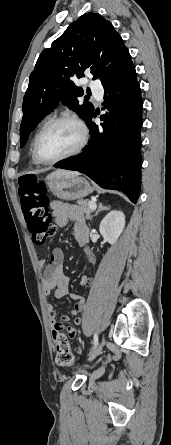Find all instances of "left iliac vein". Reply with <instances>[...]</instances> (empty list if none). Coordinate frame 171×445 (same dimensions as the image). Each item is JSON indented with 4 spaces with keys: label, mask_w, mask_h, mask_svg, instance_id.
Masks as SVG:
<instances>
[{
    "label": "left iliac vein",
    "mask_w": 171,
    "mask_h": 445,
    "mask_svg": "<svg viewBox=\"0 0 171 445\" xmlns=\"http://www.w3.org/2000/svg\"><path fill=\"white\" fill-rule=\"evenodd\" d=\"M105 345H106V340H105V339H102V341H101V343L99 344V346L96 347V348L93 350V352L91 353V355H90L88 361L90 362V361L94 360V359H95V358L102 352V350H103V348H104Z\"/></svg>",
    "instance_id": "4c4485c4"
}]
</instances>
